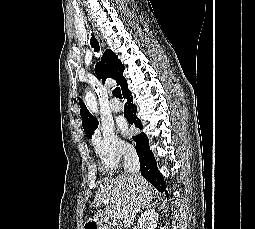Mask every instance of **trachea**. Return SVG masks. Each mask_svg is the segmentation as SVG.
<instances>
[{"mask_svg": "<svg viewBox=\"0 0 255 229\" xmlns=\"http://www.w3.org/2000/svg\"><path fill=\"white\" fill-rule=\"evenodd\" d=\"M91 46L95 49V51H99V43L96 40V38L94 37V35H92L91 38ZM113 95L119 99H122V94H121V90L119 87H116L113 91H112Z\"/></svg>", "mask_w": 255, "mask_h": 229, "instance_id": "obj_1", "label": "trachea"}]
</instances>
